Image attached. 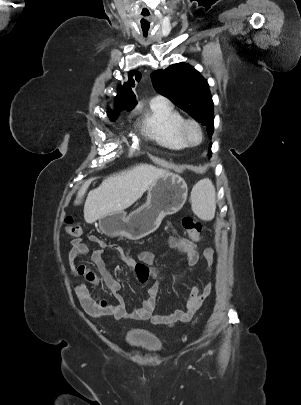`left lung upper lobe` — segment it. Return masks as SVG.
Returning <instances> with one entry per match:
<instances>
[{
  "label": "left lung upper lobe",
  "mask_w": 301,
  "mask_h": 405,
  "mask_svg": "<svg viewBox=\"0 0 301 405\" xmlns=\"http://www.w3.org/2000/svg\"><path fill=\"white\" fill-rule=\"evenodd\" d=\"M151 78L158 93L206 126L211 137L214 130L213 101L209 85L198 71L187 63H178L154 71ZM209 152L211 155L210 149Z\"/></svg>",
  "instance_id": "obj_1"
}]
</instances>
